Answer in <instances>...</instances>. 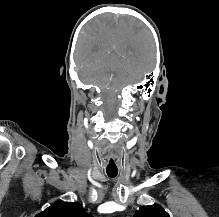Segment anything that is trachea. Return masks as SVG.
Returning a JSON list of instances; mask_svg holds the SVG:
<instances>
[{
    "label": "trachea",
    "instance_id": "trachea-1",
    "mask_svg": "<svg viewBox=\"0 0 219 217\" xmlns=\"http://www.w3.org/2000/svg\"><path fill=\"white\" fill-rule=\"evenodd\" d=\"M107 175H108L110 178H115V177L117 176V172H116V173L107 172Z\"/></svg>",
    "mask_w": 219,
    "mask_h": 217
}]
</instances>
